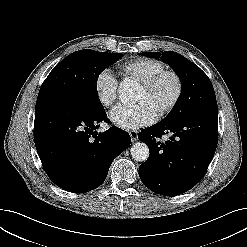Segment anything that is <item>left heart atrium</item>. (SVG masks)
I'll use <instances>...</instances> for the list:
<instances>
[{
	"label": "left heart atrium",
	"instance_id": "obj_1",
	"mask_svg": "<svg viewBox=\"0 0 247 247\" xmlns=\"http://www.w3.org/2000/svg\"><path fill=\"white\" fill-rule=\"evenodd\" d=\"M158 112L146 100L135 105H118L110 112V120L117 127L124 130H134L153 123Z\"/></svg>",
	"mask_w": 247,
	"mask_h": 247
}]
</instances>
